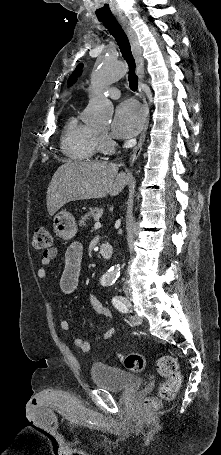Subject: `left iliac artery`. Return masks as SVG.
Here are the masks:
<instances>
[{"label":"left iliac artery","instance_id":"left-iliac-artery-1","mask_svg":"<svg viewBox=\"0 0 221 455\" xmlns=\"http://www.w3.org/2000/svg\"><path fill=\"white\" fill-rule=\"evenodd\" d=\"M112 303L120 312L127 313L130 310V302L123 296H114Z\"/></svg>","mask_w":221,"mask_h":455}]
</instances>
